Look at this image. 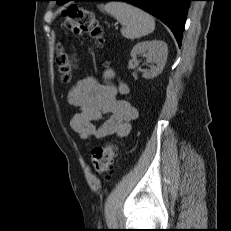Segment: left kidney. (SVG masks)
<instances>
[{"label": "left kidney", "instance_id": "obj_1", "mask_svg": "<svg viewBox=\"0 0 231 231\" xmlns=\"http://www.w3.org/2000/svg\"><path fill=\"white\" fill-rule=\"evenodd\" d=\"M130 55L133 58L137 55H143L156 64V66L151 67L149 72L143 73L144 78L151 79L162 72L167 61L168 46L160 40L143 41L133 47Z\"/></svg>", "mask_w": 231, "mask_h": 231}]
</instances>
